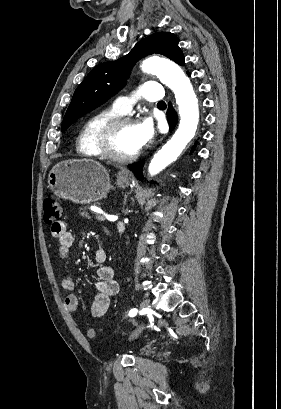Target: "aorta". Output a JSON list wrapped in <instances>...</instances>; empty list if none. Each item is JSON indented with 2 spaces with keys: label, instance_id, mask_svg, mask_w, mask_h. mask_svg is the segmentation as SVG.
Segmentation results:
<instances>
[{
  "label": "aorta",
  "instance_id": "obj_1",
  "mask_svg": "<svg viewBox=\"0 0 281 409\" xmlns=\"http://www.w3.org/2000/svg\"><path fill=\"white\" fill-rule=\"evenodd\" d=\"M141 68L156 75L174 92L180 115L178 129L149 164L148 171L153 176L175 161L192 140L199 122V107L191 82L178 65L164 58L150 57L143 61Z\"/></svg>",
  "mask_w": 281,
  "mask_h": 409
}]
</instances>
